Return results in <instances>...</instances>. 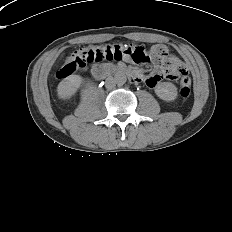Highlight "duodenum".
<instances>
[{
    "instance_id": "obj_1",
    "label": "duodenum",
    "mask_w": 232,
    "mask_h": 232,
    "mask_svg": "<svg viewBox=\"0 0 232 232\" xmlns=\"http://www.w3.org/2000/svg\"><path fill=\"white\" fill-rule=\"evenodd\" d=\"M107 70H108V68L106 66L95 65L91 70V76L94 80L99 81L104 77ZM117 73L119 75L127 76L133 82L139 81V75L136 73H133L132 71H130L128 69L119 68V69H117Z\"/></svg>"
}]
</instances>
